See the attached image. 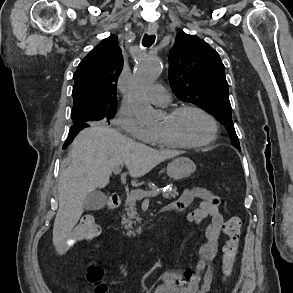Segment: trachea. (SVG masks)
<instances>
[{"label":"trachea","instance_id":"obj_1","mask_svg":"<svg viewBox=\"0 0 293 293\" xmlns=\"http://www.w3.org/2000/svg\"><path fill=\"white\" fill-rule=\"evenodd\" d=\"M155 42V35H147L143 37L142 44L145 47H150Z\"/></svg>","mask_w":293,"mask_h":293}]
</instances>
